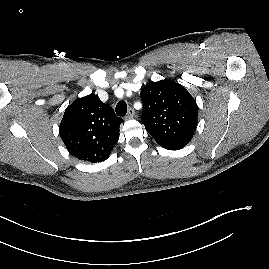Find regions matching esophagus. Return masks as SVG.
<instances>
[{
    "instance_id": "34e87169",
    "label": "esophagus",
    "mask_w": 269,
    "mask_h": 269,
    "mask_svg": "<svg viewBox=\"0 0 269 269\" xmlns=\"http://www.w3.org/2000/svg\"><path fill=\"white\" fill-rule=\"evenodd\" d=\"M134 115H135L134 109L133 108H129L128 111H127L126 118L131 119V118L134 117Z\"/></svg>"
}]
</instances>
